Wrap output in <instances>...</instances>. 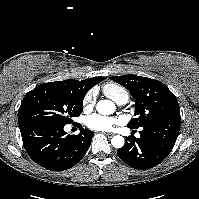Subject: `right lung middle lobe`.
I'll list each match as a JSON object with an SVG mask.
<instances>
[{"instance_id":"dd1d6c3e","label":"right lung middle lobe","mask_w":199,"mask_h":199,"mask_svg":"<svg viewBox=\"0 0 199 199\" xmlns=\"http://www.w3.org/2000/svg\"><path fill=\"white\" fill-rule=\"evenodd\" d=\"M36 88V87H35ZM28 92L18 110V123L46 122L66 125L83 110L84 96H77L53 85Z\"/></svg>"}]
</instances>
